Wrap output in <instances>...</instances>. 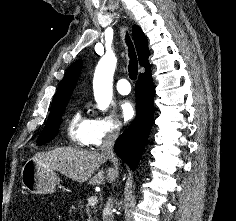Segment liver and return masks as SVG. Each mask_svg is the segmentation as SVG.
I'll list each match as a JSON object with an SVG mask.
<instances>
[{"instance_id":"liver-1","label":"liver","mask_w":236,"mask_h":221,"mask_svg":"<svg viewBox=\"0 0 236 221\" xmlns=\"http://www.w3.org/2000/svg\"><path fill=\"white\" fill-rule=\"evenodd\" d=\"M107 157L98 152L79 150L72 147H57L48 152L36 153L32 160L45 167L57 170L68 178L90 185H103L105 180L112 182L116 177L114 168L100 169ZM98 171L94 176V172Z\"/></svg>"}]
</instances>
